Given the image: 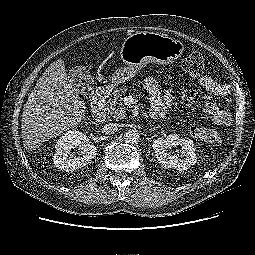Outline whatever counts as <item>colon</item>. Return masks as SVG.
Listing matches in <instances>:
<instances>
[{"mask_svg":"<svg viewBox=\"0 0 255 255\" xmlns=\"http://www.w3.org/2000/svg\"><path fill=\"white\" fill-rule=\"evenodd\" d=\"M181 67L189 75H200L204 70V57L199 52H193L183 60ZM190 133L196 139L205 143H217L220 141V135L211 128L192 126Z\"/></svg>","mask_w":255,"mask_h":255,"instance_id":"colon-1","label":"colon"}]
</instances>
